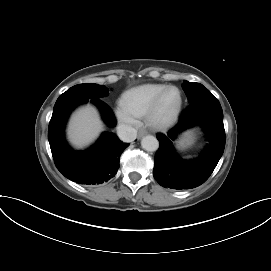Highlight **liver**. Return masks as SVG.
<instances>
[{
    "label": "liver",
    "instance_id": "liver-1",
    "mask_svg": "<svg viewBox=\"0 0 271 271\" xmlns=\"http://www.w3.org/2000/svg\"><path fill=\"white\" fill-rule=\"evenodd\" d=\"M103 130L98 111L91 105L79 108L71 117L68 137L78 148L92 143Z\"/></svg>",
    "mask_w": 271,
    "mask_h": 271
}]
</instances>
